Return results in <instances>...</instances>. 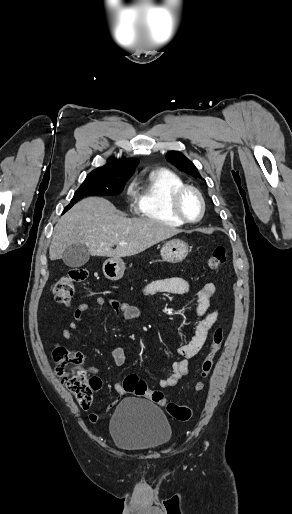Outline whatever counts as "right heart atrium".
<instances>
[{
    "instance_id": "d8ad5b80",
    "label": "right heart atrium",
    "mask_w": 292,
    "mask_h": 514,
    "mask_svg": "<svg viewBox=\"0 0 292 514\" xmlns=\"http://www.w3.org/2000/svg\"><path fill=\"white\" fill-rule=\"evenodd\" d=\"M125 193L126 195L131 198L133 197L135 191H134V185L133 184H129L127 187H126V190H125Z\"/></svg>"
}]
</instances>
